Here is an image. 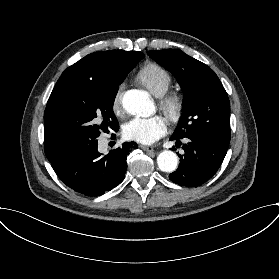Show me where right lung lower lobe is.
I'll return each mask as SVG.
<instances>
[{"instance_id":"1","label":"right lung lower lobe","mask_w":279,"mask_h":279,"mask_svg":"<svg viewBox=\"0 0 279 279\" xmlns=\"http://www.w3.org/2000/svg\"><path fill=\"white\" fill-rule=\"evenodd\" d=\"M97 142L93 141L84 148L71 150L50 161L65 185L88 197L102 195L119 185L125 177L127 155L132 148H137L135 142H126L121 148L101 156Z\"/></svg>"}]
</instances>
